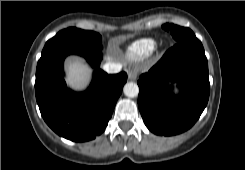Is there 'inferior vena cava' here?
Here are the masks:
<instances>
[{
  "label": "inferior vena cava",
  "mask_w": 245,
  "mask_h": 170,
  "mask_svg": "<svg viewBox=\"0 0 245 170\" xmlns=\"http://www.w3.org/2000/svg\"><path fill=\"white\" fill-rule=\"evenodd\" d=\"M121 64L118 63H107L103 66V69L110 74L119 73L121 71Z\"/></svg>",
  "instance_id": "inferior-vena-cava-1"
}]
</instances>
